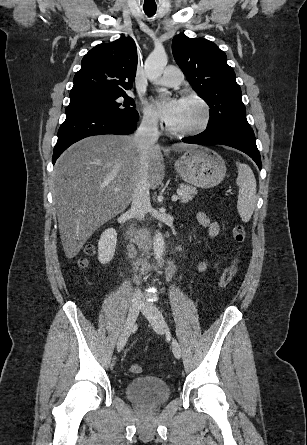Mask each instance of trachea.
Masks as SVG:
<instances>
[{
    "label": "trachea",
    "instance_id": "trachea-1",
    "mask_svg": "<svg viewBox=\"0 0 307 445\" xmlns=\"http://www.w3.org/2000/svg\"><path fill=\"white\" fill-rule=\"evenodd\" d=\"M156 9H157V7H147V8H144V12L148 16H153L156 12Z\"/></svg>",
    "mask_w": 307,
    "mask_h": 445
}]
</instances>
